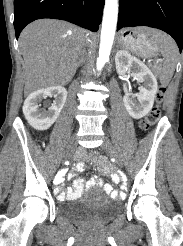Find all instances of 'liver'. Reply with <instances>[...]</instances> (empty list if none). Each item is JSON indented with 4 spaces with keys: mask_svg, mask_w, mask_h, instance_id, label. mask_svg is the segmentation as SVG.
I'll list each match as a JSON object with an SVG mask.
<instances>
[{
    "mask_svg": "<svg viewBox=\"0 0 183 246\" xmlns=\"http://www.w3.org/2000/svg\"><path fill=\"white\" fill-rule=\"evenodd\" d=\"M88 35L64 21L42 19L29 24L19 38L26 71L24 94L67 84Z\"/></svg>",
    "mask_w": 183,
    "mask_h": 246,
    "instance_id": "1",
    "label": "liver"
}]
</instances>
